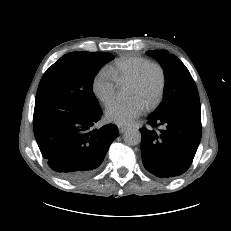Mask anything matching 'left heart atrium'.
Wrapping results in <instances>:
<instances>
[{"label":"left heart atrium","mask_w":231,"mask_h":231,"mask_svg":"<svg viewBox=\"0 0 231 231\" xmlns=\"http://www.w3.org/2000/svg\"><path fill=\"white\" fill-rule=\"evenodd\" d=\"M145 104L137 99L127 102H113L106 110L108 121L118 125H129L145 111Z\"/></svg>","instance_id":"obj_1"}]
</instances>
